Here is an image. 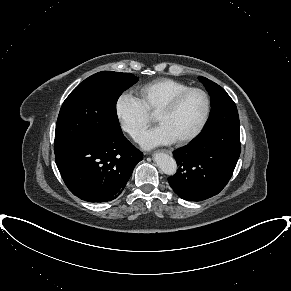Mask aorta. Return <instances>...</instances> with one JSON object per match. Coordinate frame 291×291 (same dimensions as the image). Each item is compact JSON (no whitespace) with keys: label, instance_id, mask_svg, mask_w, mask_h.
<instances>
[{"label":"aorta","instance_id":"762f6f07","mask_svg":"<svg viewBox=\"0 0 291 291\" xmlns=\"http://www.w3.org/2000/svg\"><path fill=\"white\" fill-rule=\"evenodd\" d=\"M154 162L167 175H174L177 170V164L173 157L165 153H155L153 156Z\"/></svg>","mask_w":291,"mask_h":291}]
</instances>
